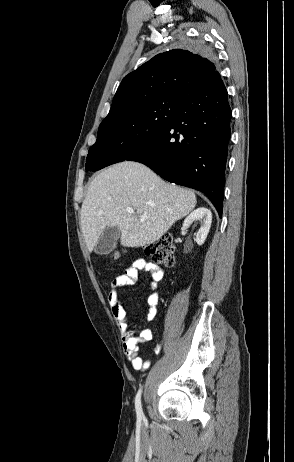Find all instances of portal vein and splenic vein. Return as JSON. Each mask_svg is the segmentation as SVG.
Wrapping results in <instances>:
<instances>
[{
	"mask_svg": "<svg viewBox=\"0 0 294 462\" xmlns=\"http://www.w3.org/2000/svg\"><path fill=\"white\" fill-rule=\"evenodd\" d=\"M126 212H128V213H134V209L128 207V208H126ZM141 219H142V220H146V219H147V216H146V215H141Z\"/></svg>",
	"mask_w": 294,
	"mask_h": 462,
	"instance_id": "1",
	"label": "portal vein and splenic vein"
}]
</instances>
